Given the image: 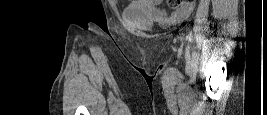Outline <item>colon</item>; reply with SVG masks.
Masks as SVG:
<instances>
[{
	"instance_id": "1",
	"label": "colon",
	"mask_w": 267,
	"mask_h": 115,
	"mask_svg": "<svg viewBox=\"0 0 267 115\" xmlns=\"http://www.w3.org/2000/svg\"><path fill=\"white\" fill-rule=\"evenodd\" d=\"M192 0H169L168 5L171 9H177L180 6L190 4Z\"/></svg>"
}]
</instances>
